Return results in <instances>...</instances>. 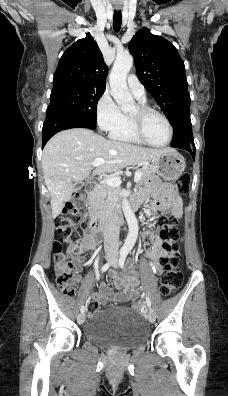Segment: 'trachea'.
Masks as SVG:
<instances>
[{
	"mask_svg": "<svg viewBox=\"0 0 228 396\" xmlns=\"http://www.w3.org/2000/svg\"><path fill=\"white\" fill-rule=\"evenodd\" d=\"M121 21H122L121 11L115 10L113 16V28L115 32H119L121 28Z\"/></svg>",
	"mask_w": 228,
	"mask_h": 396,
	"instance_id": "obj_1",
	"label": "trachea"
}]
</instances>
